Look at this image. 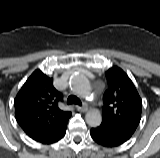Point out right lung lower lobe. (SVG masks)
Here are the masks:
<instances>
[{
	"label": "right lung lower lobe",
	"instance_id": "obj_1",
	"mask_svg": "<svg viewBox=\"0 0 160 158\" xmlns=\"http://www.w3.org/2000/svg\"><path fill=\"white\" fill-rule=\"evenodd\" d=\"M66 127H67V124L57 134L47 138L46 140H44V141H42L40 143H42V144H51V143L57 142L58 140H60L61 138H63L65 136Z\"/></svg>",
	"mask_w": 160,
	"mask_h": 158
}]
</instances>
